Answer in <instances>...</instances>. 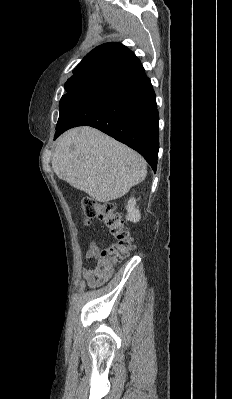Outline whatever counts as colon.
<instances>
[{
  "mask_svg": "<svg viewBox=\"0 0 232 399\" xmlns=\"http://www.w3.org/2000/svg\"><path fill=\"white\" fill-rule=\"evenodd\" d=\"M114 208H116L114 200H109V203L98 201L97 204L93 198H89V194H84V199H81V221L93 219L94 216L102 217L106 231L112 233V246H108V252H101V247H96L98 263L96 279L100 283H109L110 278L104 276V273L106 275L113 273V261L129 259V249H134V242H129V239L125 238V228L126 236H131V225L121 222V218L114 214ZM114 267H119V262H114Z\"/></svg>",
  "mask_w": 232,
  "mask_h": 399,
  "instance_id": "colon-1",
  "label": "colon"
}]
</instances>
